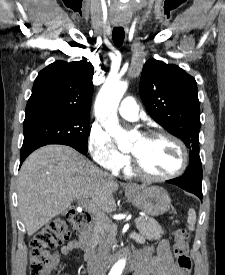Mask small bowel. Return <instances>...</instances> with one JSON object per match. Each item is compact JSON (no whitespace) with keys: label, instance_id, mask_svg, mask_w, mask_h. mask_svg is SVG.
Masks as SVG:
<instances>
[{"label":"small bowel","instance_id":"small-bowel-1","mask_svg":"<svg viewBox=\"0 0 225 275\" xmlns=\"http://www.w3.org/2000/svg\"><path fill=\"white\" fill-rule=\"evenodd\" d=\"M77 250H81L79 240L73 239L61 248V253L69 255ZM152 251L151 248H144L138 253L139 264L134 275H185L174 264L169 244L166 240L159 242L155 255H152Z\"/></svg>","mask_w":225,"mask_h":275}]
</instances>
